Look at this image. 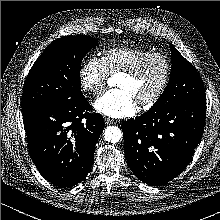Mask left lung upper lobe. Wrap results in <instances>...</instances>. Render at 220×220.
I'll list each match as a JSON object with an SVG mask.
<instances>
[{"label":"left lung upper lobe","mask_w":220,"mask_h":220,"mask_svg":"<svg viewBox=\"0 0 220 220\" xmlns=\"http://www.w3.org/2000/svg\"><path fill=\"white\" fill-rule=\"evenodd\" d=\"M170 49L172 67L169 82L162 95L151 107L153 110L206 97L203 81L197 69L171 43Z\"/></svg>","instance_id":"left-lung-upper-lobe-1"}]
</instances>
